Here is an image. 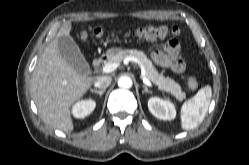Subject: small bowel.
I'll list each match as a JSON object with an SVG mask.
<instances>
[{
    "mask_svg": "<svg viewBox=\"0 0 249 165\" xmlns=\"http://www.w3.org/2000/svg\"><path fill=\"white\" fill-rule=\"evenodd\" d=\"M151 57L158 66L175 73H182L185 70L180 45L175 39H169L162 49L153 48Z\"/></svg>",
    "mask_w": 249,
    "mask_h": 165,
    "instance_id": "small-bowel-1",
    "label": "small bowel"
}]
</instances>
